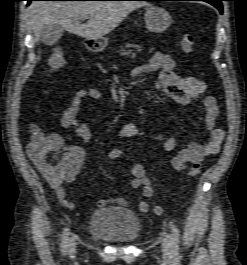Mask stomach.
<instances>
[{
    "label": "stomach",
    "mask_w": 247,
    "mask_h": 265,
    "mask_svg": "<svg viewBox=\"0 0 247 265\" xmlns=\"http://www.w3.org/2000/svg\"><path fill=\"white\" fill-rule=\"evenodd\" d=\"M144 20L147 28L155 33L164 32L172 23L170 14L158 6H149L144 13ZM108 41L104 38L94 40L89 44L93 51H102L107 46Z\"/></svg>",
    "instance_id": "1"
}]
</instances>
